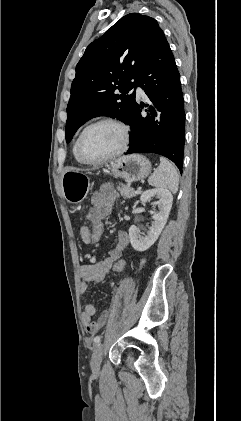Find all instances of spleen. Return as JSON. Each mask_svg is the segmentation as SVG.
Here are the masks:
<instances>
[{"mask_svg":"<svg viewBox=\"0 0 241 421\" xmlns=\"http://www.w3.org/2000/svg\"><path fill=\"white\" fill-rule=\"evenodd\" d=\"M148 183L157 188H167L176 194L179 186V175L176 168L166 158H160V165L149 177Z\"/></svg>","mask_w":241,"mask_h":421,"instance_id":"spleen-1","label":"spleen"}]
</instances>
